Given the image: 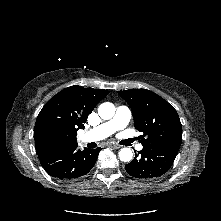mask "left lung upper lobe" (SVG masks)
Listing matches in <instances>:
<instances>
[{"label": "left lung upper lobe", "mask_w": 221, "mask_h": 221, "mask_svg": "<svg viewBox=\"0 0 221 221\" xmlns=\"http://www.w3.org/2000/svg\"><path fill=\"white\" fill-rule=\"evenodd\" d=\"M118 94L129 103L135 128L143 132L142 145L179 150L182 125L173 106L147 89H129Z\"/></svg>", "instance_id": "5c2ea615"}]
</instances>
